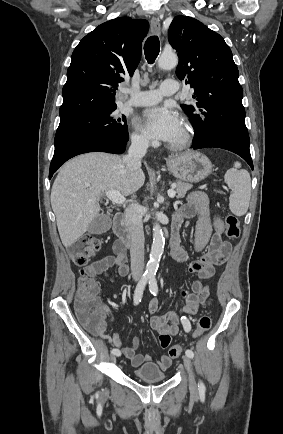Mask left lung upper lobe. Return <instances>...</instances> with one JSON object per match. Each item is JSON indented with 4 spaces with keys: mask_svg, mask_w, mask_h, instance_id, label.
<instances>
[{
    "mask_svg": "<svg viewBox=\"0 0 283 434\" xmlns=\"http://www.w3.org/2000/svg\"><path fill=\"white\" fill-rule=\"evenodd\" d=\"M168 39L178 52L176 75L190 84L197 100L194 106L181 105L193 123L194 143L230 141L249 146L239 72L223 37L180 15L173 19Z\"/></svg>",
    "mask_w": 283,
    "mask_h": 434,
    "instance_id": "5c2ea615",
    "label": "left lung upper lobe"
}]
</instances>
